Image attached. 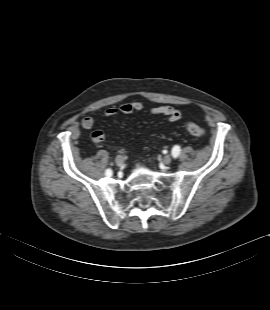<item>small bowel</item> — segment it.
<instances>
[{
  "label": "small bowel",
  "mask_w": 270,
  "mask_h": 310,
  "mask_svg": "<svg viewBox=\"0 0 270 310\" xmlns=\"http://www.w3.org/2000/svg\"><path fill=\"white\" fill-rule=\"evenodd\" d=\"M147 111L152 115H162L165 116L169 121H177L180 119V111L172 106H158L145 110L142 102L134 101L131 103H125L117 107L109 108L105 111L104 117L111 118L120 114H131L133 112H143ZM95 120L92 117H84L81 120V126L84 129H91L94 126ZM92 141L94 143H101L106 139L104 132L101 130H96L91 135Z\"/></svg>",
  "instance_id": "obj_1"
}]
</instances>
